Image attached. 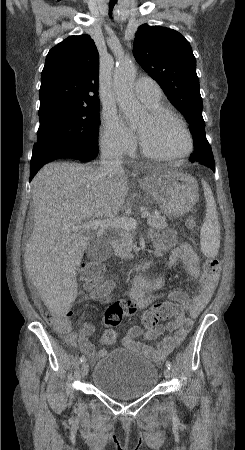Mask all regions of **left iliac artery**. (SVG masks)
Returning <instances> with one entry per match:
<instances>
[{
    "instance_id": "obj_1",
    "label": "left iliac artery",
    "mask_w": 245,
    "mask_h": 450,
    "mask_svg": "<svg viewBox=\"0 0 245 450\" xmlns=\"http://www.w3.org/2000/svg\"><path fill=\"white\" fill-rule=\"evenodd\" d=\"M166 367H167L169 370L171 369L172 365H171V363H170L169 361H166Z\"/></svg>"
}]
</instances>
